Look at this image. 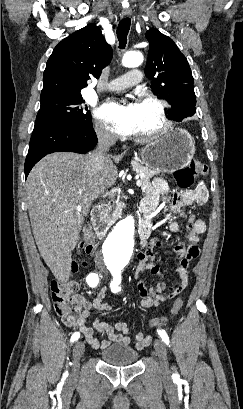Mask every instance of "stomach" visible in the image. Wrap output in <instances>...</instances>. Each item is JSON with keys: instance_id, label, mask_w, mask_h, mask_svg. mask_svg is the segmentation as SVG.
I'll use <instances>...</instances> for the list:
<instances>
[{"instance_id": "stomach-1", "label": "stomach", "mask_w": 243, "mask_h": 409, "mask_svg": "<svg viewBox=\"0 0 243 409\" xmlns=\"http://www.w3.org/2000/svg\"><path fill=\"white\" fill-rule=\"evenodd\" d=\"M195 153V141L188 131L174 128L141 150L143 163L157 172H174L187 166Z\"/></svg>"}]
</instances>
